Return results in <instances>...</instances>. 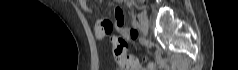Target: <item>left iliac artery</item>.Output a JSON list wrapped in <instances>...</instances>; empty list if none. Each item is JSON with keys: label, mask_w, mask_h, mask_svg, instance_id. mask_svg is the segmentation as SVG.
<instances>
[{"label": "left iliac artery", "mask_w": 238, "mask_h": 70, "mask_svg": "<svg viewBox=\"0 0 238 70\" xmlns=\"http://www.w3.org/2000/svg\"><path fill=\"white\" fill-rule=\"evenodd\" d=\"M132 26L133 27H138V22L136 21V19L132 20Z\"/></svg>", "instance_id": "left-iliac-artery-1"}]
</instances>
